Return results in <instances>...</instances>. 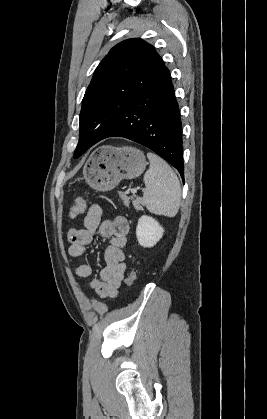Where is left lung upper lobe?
<instances>
[{
    "label": "left lung upper lobe",
    "mask_w": 267,
    "mask_h": 419,
    "mask_svg": "<svg viewBox=\"0 0 267 419\" xmlns=\"http://www.w3.org/2000/svg\"><path fill=\"white\" fill-rule=\"evenodd\" d=\"M163 66L154 47L139 38L122 41L110 50L96 68L82 100L75 158L89 148L98 126L125 111Z\"/></svg>",
    "instance_id": "5c2ea615"
}]
</instances>
